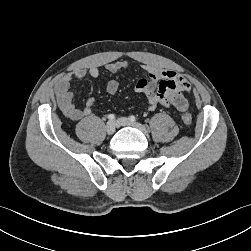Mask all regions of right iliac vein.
I'll return each instance as SVG.
<instances>
[{
  "mask_svg": "<svg viewBox=\"0 0 251 251\" xmlns=\"http://www.w3.org/2000/svg\"><path fill=\"white\" fill-rule=\"evenodd\" d=\"M116 130V123L114 121H109L106 125V132L109 135H112Z\"/></svg>",
  "mask_w": 251,
  "mask_h": 251,
  "instance_id": "right-iliac-vein-1",
  "label": "right iliac vein"
}]
</instances>
